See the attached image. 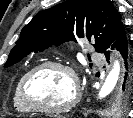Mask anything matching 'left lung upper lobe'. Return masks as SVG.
Returning a JSON list of instances; mask_svg holds the SVG:
<instances>
[{"label": "left lung upper lobe", "instance_id": "1", "mask_svg": "<svg viewBox=\"0 0 133 118\" xmlns=\"http://www.w3.org/2000/svg\"><path fill=\"white\" fill-rule=\"evenodd\" d=\"M121 24L118 11L109 0H67L34 16L22 29L4 67L13 65L33 51L42 52L52 44L76 42L75 36L89 41L94 38V47L101 53ZM130 96V89H117L106 113L109 116L125 114Z\"/></svg>", "mask_w": 133, "mask_h": 118}]
</instances>
